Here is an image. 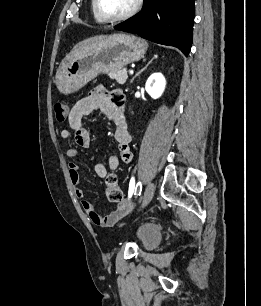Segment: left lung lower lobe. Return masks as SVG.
Returning a JSON list of instances; mask_svg holds the SVG:
<instances>
[{
    "mask_svg": "<svg viewBox=\"0 0 261 306\" xmlns=\"http://www.w3.org/2000/svg\"><path fill=\"white\" fill-rule=\"evenodd\" d=\"M194 0H144L143 10L114 26L150 41L175 46L188 56L192 45Z\"/></svg>",
    "mask_w": 261,
    "mask_h": 306,
    "instance_id": "obj_1",
    "label": "left lung lower lobe"
}]
</instances>
